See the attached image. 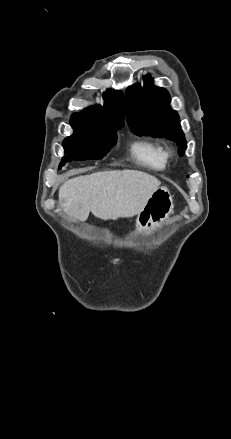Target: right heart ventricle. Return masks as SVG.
Returning <instances> with one entry per match:
<instances>
[{
    "label": "right heart ventricle",
    "instance_id": "e07e8e85",
    "mask_svg": "<svg viewBox=\"0 0 231 439\" xmlns=\"http://www.w3.org/2000/svg\"><path fill=\"white\" fill-rule=\"evenodd\" d=\"M130 152L133 158L147 168L163 170L167 166V150L159 142L148 139H136L130 145Z\"/></svg>",
    "mask_w": 231,
    "mask_h": 439
}]
</instances>
